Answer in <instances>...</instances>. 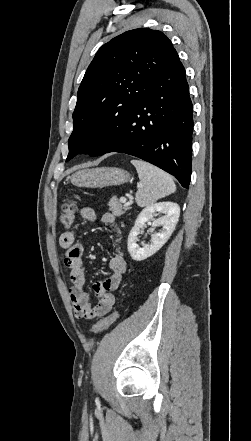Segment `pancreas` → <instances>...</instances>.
Returning a JSON list of instances; mask_svg holds the SVG:
<instances>
[{
  "label": "pancreas",
  "instance_id": "pancreas-1",
  "mask_svg": "<svg viewBox=\"0 0 251 441\" xmlns=\"http://www.w3.org/2000/svg\"><path fill=\"white\" fill-rule=\"evenodd\" d=\"M128 209H129V207L123 206L117 197L111 198V200L109 202V211H111L113 215L121 216Z\"/></svg>",
  "mask_w": 251,
  "mask_h": 441
}]
</instances>
